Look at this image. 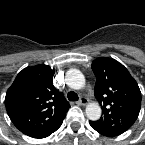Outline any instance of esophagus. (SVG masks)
Returning a JSON list of instances; mask_svg holds the SVG:
<instances>
[{
	"label": "esophagus",
	"mask_w": 145,
	"mask_h": 145,
	"mask_svg": "<svg viewBox=\"0 0 145 145\" xmlns=\"http://www.w3.org/2000/svg\"><path fill=\"white\" fill-rule=\"evenodd\" d=\"M88 103V99L85 97H81L80 100L77 102L78 105L85 106Z\"/></svg>",
	"instance_id": "34e87169"
}]
</instances>
